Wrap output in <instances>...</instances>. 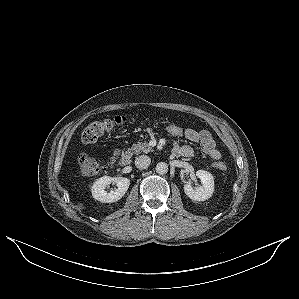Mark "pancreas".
Here are the masks:
<instances>
[{
  "label": "pancreas",
  "instance_id": "cf45deb5",
  "mask_svg": "<svg viewBox=\"0 0 299 299\" xmlns=\"http://www.w3.org/2000/svg\"><path fill=\"white\" fill-rule=\"evenodd\" d=\"M153 151L152 147L149 146L147 141L144 142H138L136 144H133L131 148L128 149L129 154H141V153H149Z\"/></svg>",
  "mask_w": 299,
  "mask_h": 299
}]
</instances>
